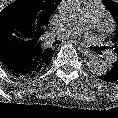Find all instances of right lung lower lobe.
Wrapping results in <instances>:
<instances>
[{
  "label": "right lung lower lobe",
  "instance_id": "98d812e1",
  "mask_svg": "<svg viewBox=\"0 0 118 118\" xmlns=\"http://www.w3.org/2000/svg\"><path fill=\"white\" fill-rule=\"evenodd\" d=\"M37 58L32 53H22L13 49L0 52V64L16 77H33L40 72Z\"/></svg>",
  "mask_w": 118,
  "mask_h": 118
}]
</instances>
